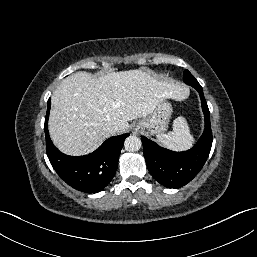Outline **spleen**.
<instances>
[{
	"label": "spleen",
	"instance_id": "spleen-1",
	"mask_svg": "<svg viewBox=\"0 0 257 257\" xmlns=\"http://www.w3.org/2000/svg\"><path fill=\"white\" fill-rule=\"evenodd\" d=\"M157 140L171 150H185L192 146L194 138L184 117H178L173 122V130L168 134L157 136Z\"/></svg>",
	"mask_w": 257,
	"mask_h": 257
}]
</instances>
